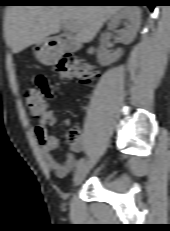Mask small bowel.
<instances>
[{"label": "small bowel", "mask_w": 170, "mask_h": 231, "mask_svg": "<svg viewBox=\"0 0 170 231\" xmlns=\"http://www.w3.org/2000/svg\"><path fill=\"white\" fill-rule=\"evenodd\" d=\"M36 84L39 90L47 97L51 96V89L42 75L37 76ZM57 115L52 110H46L40 115L39 122L35 126V134L41 146V155L46 167L55 172L58 177L67 176L76 166L75 154L83 151L85 148V140L82 136L71 141L70 152L67 154L64 162H58L54 156L53 151L59 147V139L55 135H50L46 126H53L57 123Z\"/></svg>", "instance_id": "small-bowel-1"}]
</instances>
